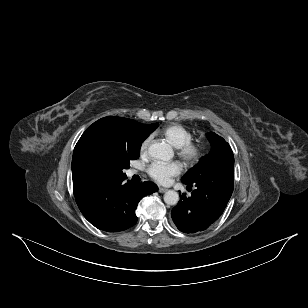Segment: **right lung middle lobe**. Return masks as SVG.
<instances>
[{
	"label": "right lung middle lobe",
	"mask_w": 308,
	"mask_h": 308,
	"mask_svg": "<svg viewBox=\"0 0 308 308\" xmlns=\"http://www.w3.org/2000/svg\"><path fill=\"white\" fill-rule=\"evenodd\" d=\"M158 125V123L150 124L146 132V137L151 132H153L158 127ZM140 147L141 145L131 150H123L114 155L112 159L113 178L126 177V174L123 173V170L130 167L129 164L131 160H135L139 157Z\"/></svg>",
	"instance_id": "1"
}]
</instances>
